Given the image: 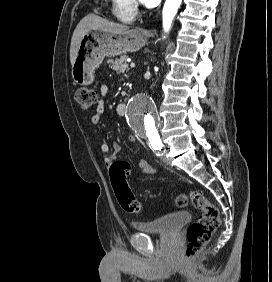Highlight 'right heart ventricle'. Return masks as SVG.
I'll return each instance as SVG.
<instances>
[{
	"label": "right heart ventricle",
	"mask_w": 272,
	"mask_h": 282,
	"mask_svg": "<svg viewBox=\"0 0 272 282\" xmlns=\"http://www.w3.org/2000/svg\"><path fill=\"white\" fill-rule=\"evenodd\" d=\"M115 16L125 23H130L135 18V11L131 5V0H112Z\"/></svg>",
	"instance_id": "1"
}]
</instances>
